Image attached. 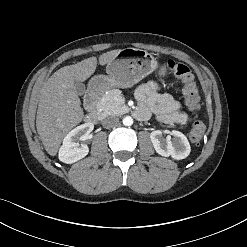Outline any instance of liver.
<instances>
[{
	"label": "liver",
	"instance_id": "obj_1",
	"mask_svg": "<svg viewBox=\"0 0 247 247\" xmlns=\"http://www.w3.org/2000/svg\"><path fill=\"white\" fill-rule=\"evenodd\" d=\"M121 49L99 56V64L106 65ZM97 58L90 57L74 65L57 70L42 86L36 116L37 132L46 152L55 156L67 133L78 125L84 112L75 89V82L86 81L96 70Z\"/></svg>",
	"mask_w": 247,
	"mask_h": 247
}]
</instances>
